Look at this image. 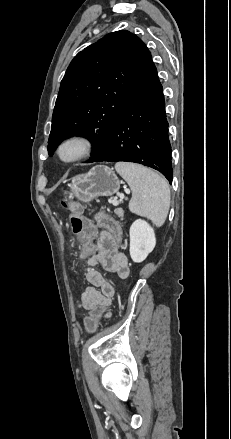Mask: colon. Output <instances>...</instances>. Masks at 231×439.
Returning a JSON list of instances; mask_svg holds the SVG:
<instances>
[{"instance_id": "5ec220e1", "label": "colon", "mask_w": 231, "mask_h": 439, "mask_svg": "<svg viewBox=\"0 0 231 439\" xmlns=\"http://www.w3.org/2000/svg\"><path fill=\"white\" fill-rule=\"evenodd\" d=\"M62 205L64 208L70 211L69 222L73 233L79 236L84 246L91 244V240L94 235V227L90 220L81 214L80 208L77 203L68 199H64L62 200ZM94 221L97 226L111 230L117 237L118 241L121 242L122 233L120 226L116 221L109 218L102 212H97L95 214ZM93 257L94 252L92 250H85L83 252V255L80 257V260L81 262L87 263ZM108 309L109 306L106 303H97L95 304V306H90L88 308V318L84 322L85 328L88 332L95 331L97 323H99L100 320L104 319L109 311Z\"/></svg>"}]
</instances>
